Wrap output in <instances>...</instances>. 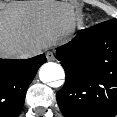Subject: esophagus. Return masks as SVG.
<instances>
[{"instance_id":"34e87169","label":"esophagus","mask_w":117,"mask_h":117,"mask_svg":"<svg viewBox=\"0 0 117 117\" xmlns=\"http://www.w3.org/2000/svg\"><path fill=\"white\" fill-rule=\"evenodd\" d=\"M46 58H47L48 61H53V60H55V55H54L53 52L48 51V52L46 53Z\"/></svg>"}]
</instances>
